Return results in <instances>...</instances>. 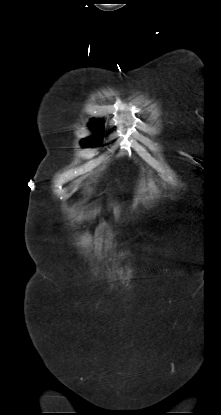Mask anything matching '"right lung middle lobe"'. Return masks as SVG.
<instances>
[{
    "instance_id": "dd1d6c3e",
    "label": "right lung middle lobe",
    "mask_w": 221,
    "mask_h": 415,
    "mask_svg": "<svg viewBox=\"0 0 221 415\" xmlns=\"http://www.w3.org/2000/svg\"><path fill=\"white\" fill-rule=\"evenodd\" d=\"M92 125L96 126L94 129L97 130V134L101 135L102 134V130H98L97 128H101L102 124L99 120L95 119L92 121L91 123ZM96 139H94L93 137L87 138V139H83L81 141V144L83 147H89V146H93L96 143Z\"/></svg>"
}]
</instances>
